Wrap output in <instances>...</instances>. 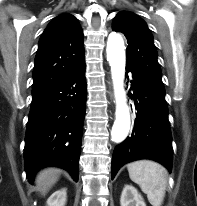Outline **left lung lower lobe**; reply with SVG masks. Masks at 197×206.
Masks as SVG:
<instances>
[{
  "instance_id": "left-lung-lower-lobe-1",
  "label": "left lung lower lobe",
  "mask_w": 197,
  "mask_h": 206,
  "mask_svg": "<svg viewBox=\"0 0 197 206\" xmlns=\"http://www.w3.org/2000/svg\"><path fill=\"white\" fill-rule=\"evenodd\" d=\"M132 73L129 96L133 99L136 113L131 136L115 147L112 158L111 178L124 164L138 159H152L172 168V136L168 120L165 91L142 77L137 71L126 67V74ZM128 77V75H127Z\"/></svg>"
}]
</instances>
